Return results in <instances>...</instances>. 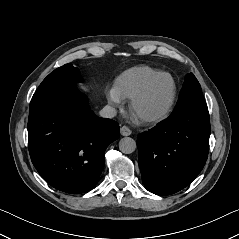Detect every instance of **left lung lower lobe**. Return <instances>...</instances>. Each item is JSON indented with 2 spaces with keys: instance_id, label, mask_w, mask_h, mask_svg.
Returning <instances> with one entry per match:
<instances>
[{
  "instance_id": "1",
  "label": "left lung lower lobe",
  "mask_w": 239,
  "mask_h": 239,
  "mask_svg": "<svg viewBox=\"0 0 239 239\" xmlns=\"http://www.w3.org/2000/svg\"><path fill=\"white\" fill-rule=\"evenodd\" d=\"M207 106H189L137 137L139 167L145 188L174 194L203 169L209 151Z\"/></svg>"
}]
</instances>
